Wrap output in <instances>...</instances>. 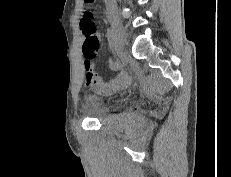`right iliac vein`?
<instances>
[{"label":"right iliac vein","instance_id":"right-iliac-vein-1","mask_svg":"<svg viewBox=\"0 0 231 177\" xmlns=\"http://www.w3.org/2000/svg\"><path fill=\"white\" fill-rule=\"evenodd\" d=\"M108 19L115 35V48L118 53H122L125 45V32L115 10L108 11Z\"/></svg>","mask_w":231,"mask_h":177}]
</instances>
